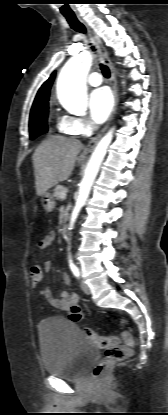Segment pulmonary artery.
Instances as JSON below:
<instances>
[{
    "instance_id": "obj_1",
    "label": "pulmonary artery",
    "mask_w": 168,
    "mask_h": 415,
    "mask_svg": "<svg viewBox=\"0 0 168 415\" xmlns=\"http://www.w3.org/2000/svg\"><path fill=\"white\" fill-rule=\"evenodd\" d=\"M87 82L89 85L96 87L102 83V79L99 73L93 72L88 76Z\"/></svg>"
}]
</instances>
